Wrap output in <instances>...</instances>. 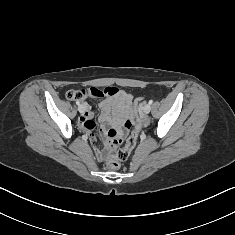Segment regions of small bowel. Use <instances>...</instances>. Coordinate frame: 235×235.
Masks as SVG:
<instances>
[{
  "mask_svg": "<svg viewBox=\"0 0 235 235\" xmlns=\"http://www.w3.org/2000/svg\"><path fill=\"white\" fill-rule=\"evenodd\" d=\"M111 88L114 93L105 96L106 98L100 103L99 123L102 132L105 133L112 129L116 135H121V132L117 129L120 126L121 120L130 116L133 97L125 91L118 90L114 87ZM84 97L82 96V98ZM83 106L85 107V111L79 118V126L87 132L90 141L94 144L95 138L93 131L96 124L92 120L93 111L88 103L83 102Z\"/></svg>",
  "mask_w": 235,
  "mask_h": 235,
  "instance_id": "obj_1",
  "label": "small bowel"
}]
</instances>
